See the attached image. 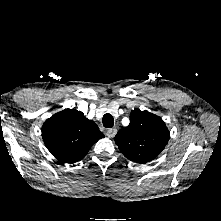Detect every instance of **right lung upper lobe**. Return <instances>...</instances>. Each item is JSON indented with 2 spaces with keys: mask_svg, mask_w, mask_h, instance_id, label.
<instances>
[{
  "mask_svg": "<svg viewBox=\"0 0 221 221\" xmlns=\"http://www.w3.org/2000/svg\"><path fill=\"white\" fill-rule=\"evenodd\" d=\"M42 137L51 154L64 164L83 159L104 134L81 111L65 109L44 122Z\"/></svg>",
  "mask_w": 221,
  "mask_h": 221,
  "instance_id": "obj_1",
  "label": "right lung upper lobe"
}]
</instances>
